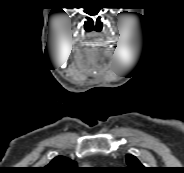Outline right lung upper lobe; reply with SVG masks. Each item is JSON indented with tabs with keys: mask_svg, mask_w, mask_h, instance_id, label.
<instances>
[{
	"mask_svg": "<svg viewBox=\"0 0 184 173\" xmlns=\"http://www.w3.org/2000/svg\"><path fill=\"white\" fill-rule=\"evenodd\" d=\"M77 170L76 162L63 157H55L47 166L40 169L41 173H75Z\"/></svg>",
	"mask_w": 184,
	"mask_h": 173,
	"instance_id": "1",
	"label": "right lung upper lobe"
}]
</instances>
